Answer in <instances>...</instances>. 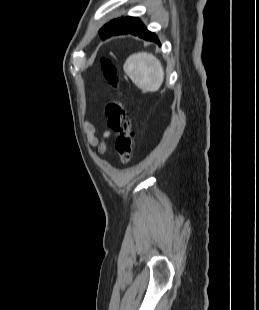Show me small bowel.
<instances>
[{"mask_svg":"<svg viewBox=\"0 0 259 310\" xmlns=\"http://www.w3.org/2000/svg\"><path fill=\"white\" fill-rule=\"evenodd\" d=\"M85 133L87 134L88 142L91 146L97 147L101 153L105 151V139H107L110 135L109 132H104L101 138H98L95 135V128L90 123H84L83 125Z\"/></svg>","mask_w":259,"mask_h":310,"instance_id":"c3829d8e","label":"small bowel"}]
</instances>
